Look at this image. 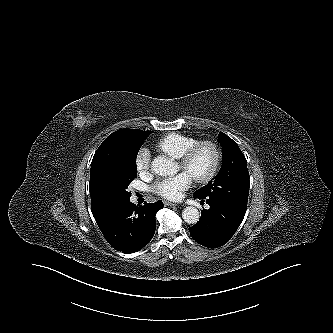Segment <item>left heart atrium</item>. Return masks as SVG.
I'll return each mask as SVG.
<instances>
[{
  "mask_svg": "<svg viewBox=\"0 0 333 333\" xmlns=\"http://www.w3.org/2000/svg\"><path fill=\"white\" fill-rule=\"evenodd\" d=\"M192 176L186 171L175 176L164 177L156 181L152 187L153 191L169 200H178L190 187Z\"/></svg>",
  "mask_w": 333,
  "mask_h": 333,
  "instance_id": "obj_1",
  "label": "left heart atrium"
}]
</instances>
